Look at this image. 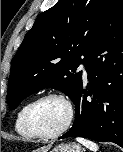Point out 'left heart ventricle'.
Segmentation results:
<instances>
[{
	"label": "left heart ventricle",
	"instance_id": "b2bd125f",
	"mask_svg": "<svg viewBox=\"0 0 123 152\" xmlns=\"http://www.w3.org/2000/svg\"><path fill=\"white\" fill-rule=\"evenodd\" d=\"M67 116V107L61 100L47 99L34 109L32 122L38 131L53 133L65 124Z\"/></svg>",
	"mask_w": 123,
	"mask_h": 152
}]
</instances>
